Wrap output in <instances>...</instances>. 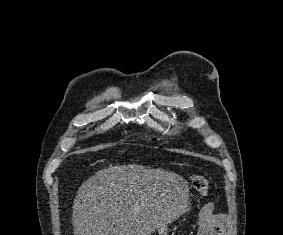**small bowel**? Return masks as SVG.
<instances>
[{
	"instance_id": "small-bowel-1",
	"label": "small bowel",
	"mask_w": 283,
	"mask_h": 235,
	"mask_svg": "<svg viewBox=\"0 0 283 235\" xmlns=\"http://www.w3.org/2000/svg\"><path fill=\"white\" fill-rule=\"evenodd\" d=\"M226 224V218L216 213L212 204H206L200 211L198 235H224Z\"/></svg>"
}]
</instances>
